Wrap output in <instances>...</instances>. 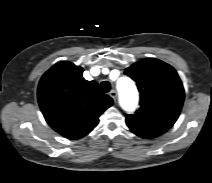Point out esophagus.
Returning <instances> with one entry per match:
<instances>
[{
	"mask_svg": "<svg viewBox=\"0 0 212 183\" xmlns=\"http://www.w3.org/2000/svg\"><path fill=\"white\" fill-rule=\"evenodd\" d=\"M109 95L113 100H116L117 92L115 90L110 91Z\"/></svg>",
	"mask_w": 212,
	"mask_h": 183,
	"instance_id": "esophagus-1",
	"label": "esophagus"
}]
</instances>
